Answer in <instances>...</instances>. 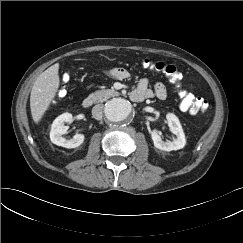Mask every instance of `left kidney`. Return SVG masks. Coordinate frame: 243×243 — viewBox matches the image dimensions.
I'll return each mask as SVG.
<instances>
[{
    "instance_id": "obj_1",
    "label": "left kidney",
    "mask_w": 243,
    "mask_h": 243,
    "mask_svg": "<svg viewBox=\"0 0 243 243\" xmlns=\"http://www.w3.org/2000/svg\"><path fill=\"white\" fill-rule=\"evenodd\" d=\"M166 118L170 131L174 135H176V138L173 141H163L161 138V133L158 130L154 129L151 132V138L154 142V146L164 151L182 149L186 144V139L179 119L172 113H168L166 115Z\"/></svg>"
}]
</instances>
